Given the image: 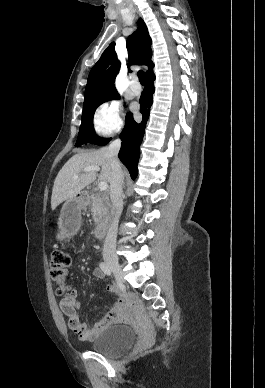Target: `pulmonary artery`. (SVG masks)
<instances>
[{"mask_svg": "<svg viewBox=\"0 0 265 388\" xmlns=\"http://www.w3.org/2000/svg\"><path fill=\"white\" fill-rule=\"evenodd\" d=\"M130 83L128 85L129 90H134V95L140 94L141 85L139 83V75H130Z\"/></svg>", "mask_w": 265, "mask_h": 388, "instance_id": "pulmonary-artery-1", "label": "pulmonary artery"}]
</instances>
